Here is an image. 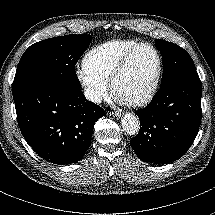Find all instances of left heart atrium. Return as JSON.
<instances>
[{
	"label": "left heart atrium",
	"instance_id": "left-heart-atrium-1",
	"mask_svg": "<svg viewBox=\"0 0 215 215\" xmlns=\"http://www.w3.org/2000/svg\"><path fill=\"white\" fill-rule=\"evenodd\" d=\"M114 99H115V101L118 102V103H122V102H123L121 99H119V98L116 97V96H114Z\"/></svg>",
	"mask_w": 215,
	"mask_h": 215
}]
</instances>
